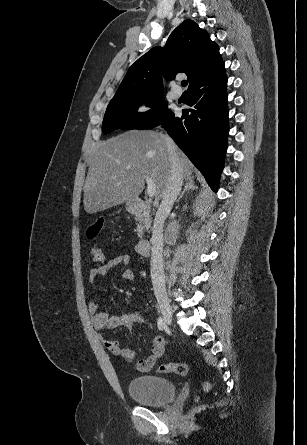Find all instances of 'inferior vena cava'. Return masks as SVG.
I'll return each mask as SVG.
<instances>
[{
    "label": "inferior vena cava",
    "instance_id": "inferior-vena-cava-1",
    "mask_svg": "<svg viewBox=\"0 0 307 445\" xmlns=\"http://www.w3.org/2000/svg\"><path fill=\"white\" fill-rule=\"evenodd\" d=\"M167 150L172 158L171 174L168 178V186L164 192L163 200L156 212L153 235L152 251L150 259L151 281L159 304H166L168 297L166 293L164 269H163V227L166 214L170 212L182 186L183 182V164L177 156L176 144L168 134H165Z\"/></svg>",
    "mask_w": 307,
    "mask_h": 445
}]
</instances>
